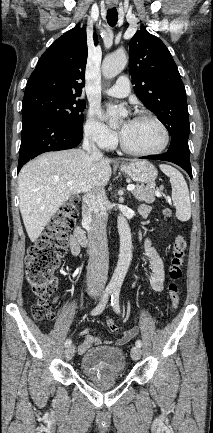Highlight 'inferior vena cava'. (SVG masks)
<instances>
[{
  "label": "inferior vena cava",
  "instance_id": "inferior-vena-cava-1",
  "mask_svg": "<svg viewBox=\"0 0 213 433\" xmlns=\"http://www.w3.org/2000/svg\"><path fill=\"white\" fill-rule=\"evenodd\" d=\"M82 148L97 157L103 154L96 147L89 134L84 136ZM105 190L87 192L83 196L82 217L86 225L89 240V263L87 272V290L89 293H100L104 290L109 267V254L106 234Z\"/></svg>",
  "mask_w": 213,
  "mask_h": 433
}]
</instances>
